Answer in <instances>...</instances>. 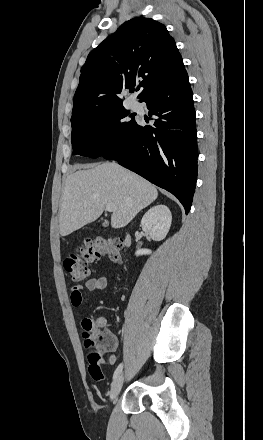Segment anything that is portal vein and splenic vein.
I'll return each instance as SVG.
<instances>
[{
    "mask_svg": "<svg viewBox=\"0 0 263 440\" xmlns=\"http://www.w3.org/2000/svg\"><path fill=\"white\" fill-rule=\"evenodd\" d=\"M114 208H115V206H114V204H112V203H108V204L106 205V210H107L108 212H112V211L114 210Z\"/></svg>",
    "mask_w": 263,
    "mask_h": 440,
    "instance_id": "portal-vein-and-splenic-vein-1",
    "label": "portal vein and splenic vein"
}]
</instances>
